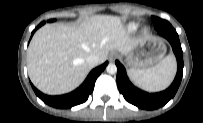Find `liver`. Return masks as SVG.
Returning <instances> with one entry per match:
<instances>
[{
    "mask_svg": "<svg viewBox=\"0 0 203 123\" xmlns=\"http://www.w3.org/2000/svg\"><path fill=\"white\" fill-rule=\"evenodd\" d=\"M141 40L132 38L121 18L113 15H96L78 25H44L27 51L30 80L48 95L71 92L92 69L88 56H98L101 64L110 51L125 55Z\"/></svg>",
    "mask_w": 203,
    "mask_h": 123,
    "instance_id": "6515ba94",
    "label": "liver"
}]
</instances>
